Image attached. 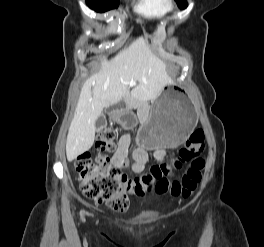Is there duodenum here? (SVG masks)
I'll list each match as a JSON object with an SVG mask.
<instances>
[{
  "mask_svg": "<svg viewBox=\"0 0 264 247\" xmlns=\"http://www.w3.org/2000/svg\"><path fill=\"white\" fill-rule=\"evenodd\" d=\"M126 104H129V101L126 102ZM122 105H119V107H121Z\"/></svg>",
  "mask_w": 264,
  "mask_h": 247,
  "instance_id": "obj_1",
  "label": "duodenum"
}]
</instances>
